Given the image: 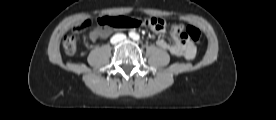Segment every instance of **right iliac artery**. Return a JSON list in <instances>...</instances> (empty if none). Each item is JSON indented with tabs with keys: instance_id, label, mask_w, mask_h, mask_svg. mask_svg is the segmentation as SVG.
<instances>
[{
	"instance_id": "right-iliac-artery-1",
	"label": "right iliac artery",
	"mask_w": 276,
	"mask_h": 120,
	"mask_svg": "<svg viewBox=\"0 0 276 120\" xmlns=\"http://www.w3.org/2000/svg\"><path fill=\"white\" fill-rule=\"evenodd\" d=\"M129 36H130V37H133V36H134V33H133V32H130V33H129Z\"/></svg>"
}]
</instances>
